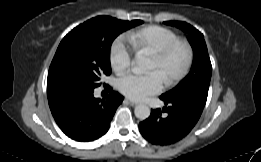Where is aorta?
<instances>
[{
  "mask_svg": "<svg viewBox=\"0 0 261 162\" xmlns=\"http://www.w3.org/2000/svg\"><path fill=\"white\" fill-rule=\"evenodd\" d=\"M134 63L136 65L134 69L135 72L140 73L144 70L147 63V59L140 53H137ZM134 113L138 119L145 120L150 116L151 110L147 105L140 104L135 107Z\"/></svg>",
  "mask_w": 261,
  "mask_h": 162,
  "instance_id": "1",
  "label": "aorta"
}]
</instances>
